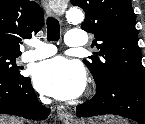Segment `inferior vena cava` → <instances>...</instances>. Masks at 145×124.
Masks as SVG:
<instances>
[{"label": "inferior vena cava", "instance_id": "inferior-vena-cava-1", "mask_svg": "<svg viewBox=\"0 0 145 124\" xmlns=\"http://www.w3.org/2000/svg\"><path fill=\"white\" fill-rule=\"evenodd\" d=\"M44 103H49L48 101H44Z\"/></svg>", "mask_w": 145, "mask_h": 124}]
</instances>
